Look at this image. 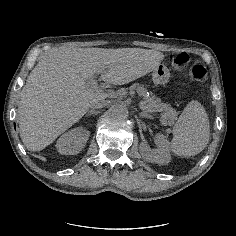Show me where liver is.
I'll use <instances>...</instances> for the list:
<instances>
[{
    "instance_id": "liver-1",
    "label": "liver",
    "mask_w": 236,
    "mask_h": 236,
    "mask_svg": "<svg viewBox=\"0 0 236 236\" xmlns=\"http://www.w3.org/2000/svg\"><path fill=\"white\" fill-rule=\"evenodd\" d=\"M151 50L142 48L66 47L39 59L22 88L18 106L20 136L29 151L38 152L79 122L87 110L109 93L88 87L98 73L112 85L129 83L148 73L141 65Z\"/></svg>"
}]
</instances>
